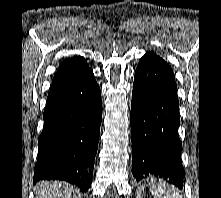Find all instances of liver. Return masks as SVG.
Returning <instances> with one entry per match:
<instances>
[{
	"instance_id": "liver-1",
	"label": "liver",
	"mask_w": 221,
	"mask_h": 198,
	"mask_svg": "<svg viewBox=\"0 0 221 198\" xmlns=\"http://www.w3.org/2000/svg\"><path fill=\"white\" fill-rule=\"evenodd\" d=\"M72 187L60 181H43L36 186V198H71Z\"/></svg>"
}]
</instances>
